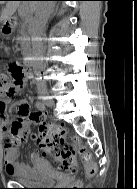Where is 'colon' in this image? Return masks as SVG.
I'll list each match as a JSON object with an SVG mask.
<instances>
[{
	"instance_id": "5ec220e1",
	"label": "colon",
	"mask_w": 137,
	"mask_h": 189,
	"mask_svg": "<svg viewBox=\"0 0 137 189\" xmlns=\"http://www.w3.org/2000/svg\"><path fill=\"white\" fill-rule=\"evenodd\" d=\"M23 78L24 71L17 64H11L7 71L0 70V97L13 96ZM20 112L29 116L32 122L39 124V131L34 138L41 150L53 158L61 171L73 175L76 167V156L79 155L85 164L87 175L93 176L95 174L96 166L92 161L91 154L80 147L77 141H67L66 129L63 126L45 122L41 113H30L28 106H23ZM10 130L14 136L23 137L28 133L20 119L11 123Z\"/></svg>"
}]
</instances>
